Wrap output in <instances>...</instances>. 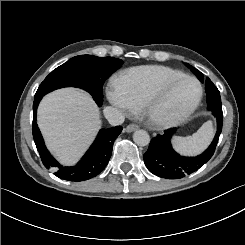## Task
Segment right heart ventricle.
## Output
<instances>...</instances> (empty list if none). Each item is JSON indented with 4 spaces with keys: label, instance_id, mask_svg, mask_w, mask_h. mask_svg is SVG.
<instances>
[{
    "label": "right heart ventricle",
    "instance_id": "obj_1",
    "mask_svg": "<svg viewBox=\"0 0 245 245\" xmlns=\"http://www.w3.org/2000/svg\"><path fill=\"white\" fill-rule=\"evenodd\" d=\"M184 73L163 66H145L131 70L127 77L114 85L115 92L131 107L139 108L152 85L165 78L183 76Z\"/></svg>",
    "mask_w": 245,
    "mask_h": 245
}]
</instances>
